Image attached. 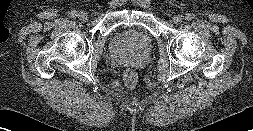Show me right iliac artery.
Instances as JSON below:
<instances>
[{"label":"right iliac artery","mask_w":253,"mask_h":131,"mask_svg":"<svg viewBox=\"0 0 253 131\" xmlns=\"http://www.w3.org/2000/svg\"><path fill=\"white\" fill-rule=\"evenodd\" d=\"M70 16L72 17V18H76L77 16H78V12L77 11H71L70 12Z\"/></svg>","instance_id":"1"}]
</instances>
